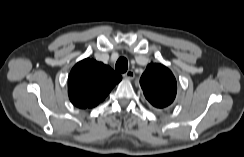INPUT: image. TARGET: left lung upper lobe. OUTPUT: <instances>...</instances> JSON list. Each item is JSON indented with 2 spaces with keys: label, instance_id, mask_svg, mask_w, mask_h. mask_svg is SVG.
<instances>
[{
  "label": "left lung upper lobe",
  "instance_id": "5c2ea615",
  "mask_svg": "<svg viewBox=\"0 0 244 157\" xmlns=\"http://www.w3.org/2000/svg\"><path fill=\"white\" fill-rule=\"evenodd\" d=\"M146 99L157 108L170 105L176 96L177 84L172 72L161 64H149L140 78Z\"/></svg>",
  "mask_w": 244,
  "mask_h": 157
}]
</instances>
